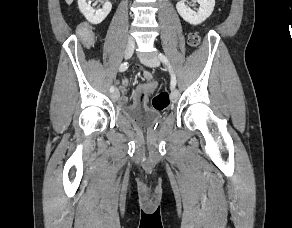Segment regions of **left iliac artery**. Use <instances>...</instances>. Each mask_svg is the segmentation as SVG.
<instances>
[{"label":"left iliac artery","mask_w":292,"mask_h":228,"mask_svg":"<svg viewBox=\"0 0 292 228\" xmlns=\"http://www.w3.org/2000/svg\"><path fill=\"white\" fill-rule=\"evenodd\" d=\"M158 58L161 60V62H163L165 65L168 66L169 72L171 74V83H170L171 84V89H174L175 86H176V76H175L174 72L171 69V66H170V63L168 61V58L162 53L158 54Z\"/></svg>","instance_id":"obj_1"}]
</instances>
